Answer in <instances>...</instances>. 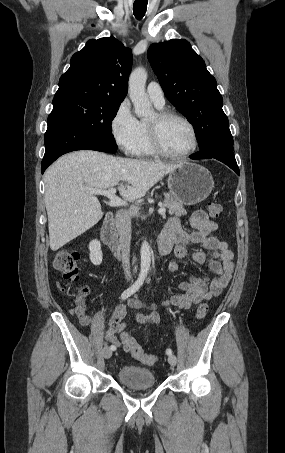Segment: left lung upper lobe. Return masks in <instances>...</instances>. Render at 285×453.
Instances as JSON below:
<instances>
[{
	"mask_svg": "<svg viewBox=\"0 0 285 453\" xmlns=\"http://www.w3.org/2000/svg\"><path fill=\"white\" fill-rule=\"evenodd\" d=\"M148 60L168 100L193 125L200 150L217 144L233 146L216 80L190 43L183 39L154 43Z\"/></svg>",
	"mask_w": 285,
	"mask_h": 453,
	"instance_id": "5c2ea615",
	"label": "left lung upper lobe"
}]
</instances>
